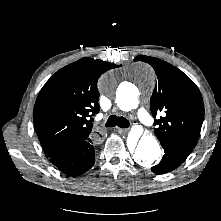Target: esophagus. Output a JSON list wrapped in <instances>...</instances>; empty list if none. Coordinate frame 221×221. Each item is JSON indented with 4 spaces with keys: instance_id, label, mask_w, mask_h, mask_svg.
<instances>
[{
    "instance_id": "34e87169",
    "label": "esophagus",
    "mask_w": 221,
    "mask_h": 221,
    "mask_svg": "<svg viewBox=\"0 0 221 221\" xmlns=\"http://www.w3.org/2000/svg\"><path fill=\"white\" fill-rule=\"evenodd\" d=\"M117 130L122 132V133H127L128 132V129H125V128H119L117 127Z\"/></svg>"
}]
</instances>
